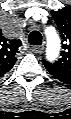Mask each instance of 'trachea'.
I'll return each instance as SVG.
<instances>
[{
    "label": "trachea",
    "mask_w": 71,
    "mask_h": 119,
    "mask_svg": "<svg viewBox=\"0 0 71 119\" xmlns=\"http://www.w3.org/2000/svg\"><path fill=\"white\" fill-rule=\"evenodd\" d=\"M28 42L30 44H34V45H41L42 44V35L38 31H32L29 34Z\"/></svg>",
    "instance_id": "3493384b"
}]
</instances>
